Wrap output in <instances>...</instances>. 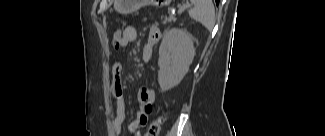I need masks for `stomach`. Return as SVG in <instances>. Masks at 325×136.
<instances>
[{
	"mask_svg": "<svg viewBox=\"0 0 325 136\" xmlns=\"http://www.w3.org/2000/svg\"><path fill=\"white\" fill-rule=\"evenodd\" d=\"M145 2L158 7H163L168 5L171 0H115V8L118 12L127 14L136 11Z\"/></svg>",
	"mask_w": 325,
	"mask_h": 136,
	"instance_id": "stomach-1",
	"label": "stomach"
}]
</instances>
